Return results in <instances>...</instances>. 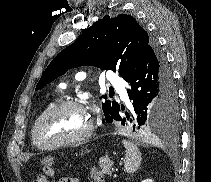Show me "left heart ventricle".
<instances>
[{
	"instance_id": "obj_1",
	"label": "left heart ventricle",
	"mask_w": 211,
	"mask_h": 182,
	"mask_svg": "<svg viewBox=\"0 0 211 182\" xmlns=\"http://www.w3.org/2000/svg\"><path fill=\"white\" fill-rule=\"evenodd\" d=\"M90 123L89 115L77 108H64L48 117L40 127L44 143H54L82 135Z\"/></svg>"
}]
</instances>
